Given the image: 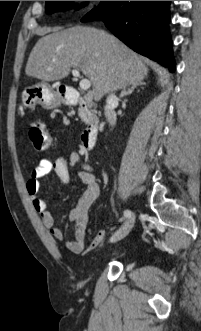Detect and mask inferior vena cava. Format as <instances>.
I'll return each instance as SVG.
<instances>
[{"label": "inferior vena cava", "instance_id": "602c4592", "mask_svg": "<svg viewBox=\"0 0 201 331\" xmlns=\"http://www.w3.org/2000/svg\"><path fill=\"white\" fill-rule=\"evenodd\" d=\"M118 103V98L115 94L111 93L108 95L106 100V105L104 107V114L111 126L116 124V113L114 111V106Z\"/></svg>", "mask_w": 201, "mask_h": 331}]
</instances>
